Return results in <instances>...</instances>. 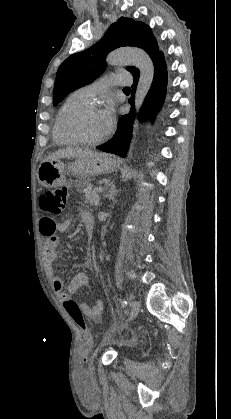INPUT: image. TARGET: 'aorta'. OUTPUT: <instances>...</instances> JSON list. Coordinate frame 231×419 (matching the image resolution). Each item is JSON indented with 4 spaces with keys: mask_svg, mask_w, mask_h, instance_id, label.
<instances>
[{
    "mask_svg": "<svg viewBox=\"0 0 231 419\" xmlns=\"http://www.w3.org/2000/svg\"><path fill=\"white\" fill-rule=\"evenodd\" d=\"M106 61L112 66L130 63L139 69V81L135 94V109L138 114L154 79V65L151 58L140 49H117L107 56ZM138 130L139 121L136 117L133 124V138L127 153L128 159L133 156Z\"/></svg>",
    "mask_w": 231,
    "mask_h": 419,
    "instance_id": "obj_1",
    "label": "aorta"
}]
</instances>
